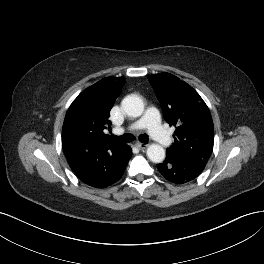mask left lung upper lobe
Instances as JSON below:
<instances>
[{"instance_id": "1", "label": "left lung upper lobe", "mask_w": 264, "mask_h": 264, "mask_svg": "<svg viewBox=\"0 0 264 264\" xmlns=\"http://www.w3.org/2000/svg\"><path fill=\"white\" fill-rule=\"evenodd\" d=\"M165 120L176 127L175 142L167 149L179 159L206 163L213 150L214 127L210 111L186 82L169 73L148 76Z\"/></svg>"}]
</instances>
